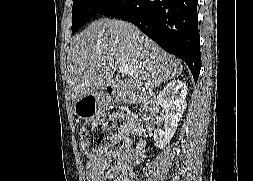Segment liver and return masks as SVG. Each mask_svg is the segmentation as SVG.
Wrapping results in <instances>:
<instances>
[{
  "label": "liver",
  "mask_w": 253,
  "mask_h": 181,
  "mask_svg": "<svg viewBox=\"0 0 253 181\" xmlns=\"http://www.w3.org/2000/svg\"><path fill=\"white\" fill-rule=\"evenodd\" d=\"M68 84L74 104L106 87L135 97L151 92L183 71L181 61L165 52L131 23L99 19L73 37L68 52ZM123 64L133 75L124 81L113 78Z\"/></svg>",
  "instance_id": "1"
}]
</instances>
